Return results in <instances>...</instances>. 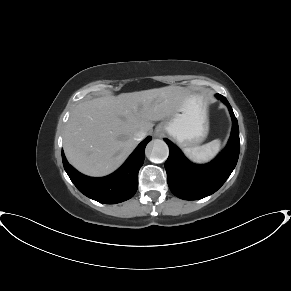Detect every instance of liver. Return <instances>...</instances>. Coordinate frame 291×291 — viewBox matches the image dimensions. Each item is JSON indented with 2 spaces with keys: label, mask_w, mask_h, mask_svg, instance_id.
<instances>
[{
  "label": "liver",
  "mask_w": 291,
  "mask_h": 291,
  "mask_svg": "<svg viewBox=\"0 0 291 291\" xmlns=\"http://www.w3.org/2000/svg\"><path fill=\"white\" fill-rule=\"evenodd\" d=\"M183 92L181 87L167 86L79 103L64 131L67 160L89 176L114 172L136 148L134 134L151 132L153 121L173 114Z\"/></svg>",
  "instance_id": "1"
}]
</instances>
